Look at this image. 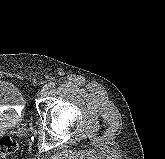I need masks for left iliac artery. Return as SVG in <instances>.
Masks as SVG:
<instances>
[{
	"mask_svg": "<svg viewBox=\"0 0 165 159\" xmlns=\"http://www.w3.org/2000/svg\"><path fill=\"white\" fill-rule=\"evenodd\" d=\"M56 84L54 82L49 83V88L53 89L55 88Z\"/></svg>",
	"mask_w": 165,
	"mask_h": 159,
	"instance_id": "44dca946",
	"label": "left iliac artery"
}]
</instances>
